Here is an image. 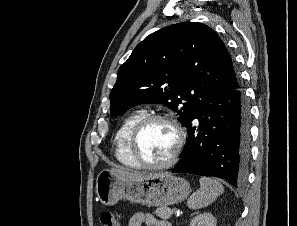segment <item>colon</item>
<instances>
[{"label": "colon", "mask_w": 297, "mask_h": 226, "mask_svg": "<svg viewBox=\"0 0 297 226\" xmlns=\"http://www.w3.org/2000/svg\"><path fill=\"white\" fill-rule=\"evenodd\" d=\"M100 226H119L113 213L104 211L100 215Z\"/></svg>", "instance_id": "colon-1"}]
</instances>
